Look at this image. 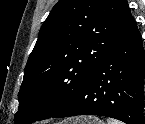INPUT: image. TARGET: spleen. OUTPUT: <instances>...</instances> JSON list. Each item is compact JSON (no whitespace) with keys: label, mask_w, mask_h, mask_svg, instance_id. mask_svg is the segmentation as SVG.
Returning <instances> with one entry per match:
<instances>
[{"label":"spleen","mask_w":145,"mask_h":124,"mask_svg":"<svg viewBox=\"0 0 145 124\" xmlns=\"http://www.w3.org/2000/svg\"><path fill=\"white\" fill-rule=\"evenodd\" d=\"M107 123L108 124H123L122 122L115 120V119H108Z\"/></svg>","instance_id":"obj_1"}]
</instances>
